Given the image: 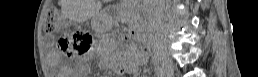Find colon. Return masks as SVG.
<instances>
[{
    "mask_svg": "<svg viewBox=\"0 0 258 77\" xmlns=\"http://www.w3.org/2000/svg\"><path fill=\"white\" fill-rule=\"evenodd\" d=\"M57 26L56 14L53 10H50L46 16L45 30L49 33L55 31ZM93 44V38L91 34L86 31H75L68 37L60 40V47L64 51H72L75 53H83L90 49ZM131 49L134 53L143 52L146 50V46L143 41L134 40L131 45Z\"/></svg>",
    "mask_w": 258,
    "mask_h": 77,
    "instance_id": "5ec220e1",
    "label": "colon"
}]
</instances>
